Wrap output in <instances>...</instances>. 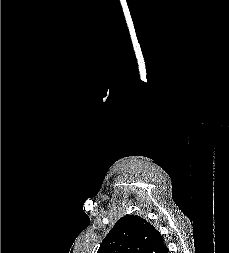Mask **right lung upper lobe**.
Instances as JSON below:
<instances>
[{"label":"right lung upper lobe","mask_w":229,"mask_h":253,"mask_svg":"<svg viewBox=\"0 0 229 253\" xmlns=\"http://www.w3.org/2000/svg\"><path fill=\"white\" fill-rule=\"evenodd\" d=\"M161 234L137 215L121 217L102 241L97 253H166Z\"/></svg>","instance_id":"right-lung-upper-lobe-1"}]
</instances>
